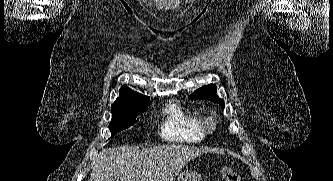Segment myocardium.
Wrapping results in <instances>:
<instances>
[{
  "instance_id": "myocardium-1",
  "label": "myocardium",
  "mask_w": 333,
  "mask_h": 181,
  "mask_svg": "<svg viewBox=\"0 0 333 181\" xmlns=\"http://www.w3.org/2000/svg\"><path fill=\"white\" fill-rule=\"evenodd\" d=\"M201 127L204 132L207 133L213 132L216 128V121L211 116L205 117L201 121Z\"/></svg>"
}]
</instances>
